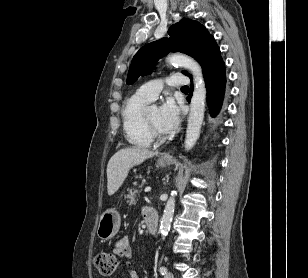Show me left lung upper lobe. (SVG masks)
Returning <instances> with one entry per match:
<instances>
[{
  "mask_svg": "<svg viewBox=\"0 0 308 278\" xmlns=\"http://www.w3.org/2000/svg\"><path fill=\"white\" fill-rule=\"evenodd\" d=\"M169 38H162L142 47L133 57L127 84H133L139 76L150 73L157 60L169 52H183L197 60L204 74L223 62L214 37L199 22L182 19L168 30ZM183 74L191 77L186 71Z\"/></svg>",
  "mask_w": 308,
  "mask_h": 278,
  "instance_id": "5c2ea615",
  "label": "left lung upper lobe"
}]
</instances>
